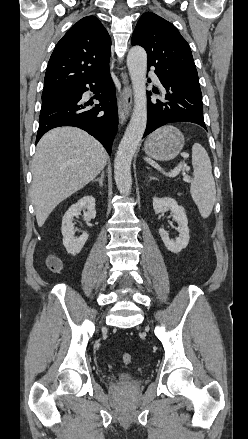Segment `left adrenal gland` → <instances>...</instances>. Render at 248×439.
Here are the masks:
<instances>
[{
  "label": "left adrenal gland",
  "instance_id": "obj_1",
  "mask_svg": "<svg viewBox=\"0 0 248 439\" xmlns=\"http://www.w3.org/2000/svg\"><path fill=\"white\" fill-rule=\"evenodd\" d=\"M149 180L151 181V180H155V178L154 177H151V176H149Z\"/></svg>",
  "mask_w": 248,
  "mask_h": 439
}]
</instances>
